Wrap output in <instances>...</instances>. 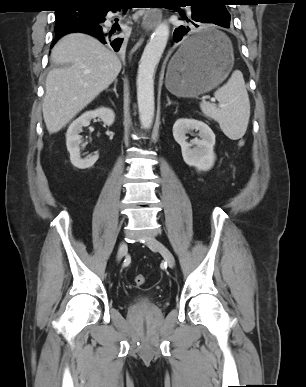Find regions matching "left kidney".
<instances>
[{"mask_svg":"<svg viewBox=\"0 0 306 387\" xmlns=\"http://www.w3.org/2000/svg\"><path fill=\"white\" fill-rule=\"evenodd\" d=\"M199 131V137L187 141L186 134ZM173 137L181 146L184 162L198 171H208L215 162V134L204 122L195 119L180 118L173 125Z\"/></svg>","mask_w":306,"mask_h":387,"instance_id":"1","label":"left kidney"}]
</instances>
